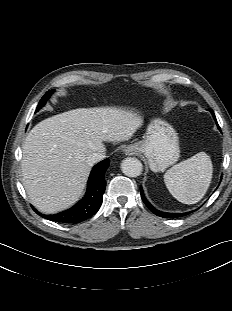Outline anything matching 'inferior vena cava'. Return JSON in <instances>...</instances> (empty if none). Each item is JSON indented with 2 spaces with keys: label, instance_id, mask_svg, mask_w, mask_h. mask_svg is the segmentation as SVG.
<instances>
[{
  "label": "inferior vena cava",
  "instance_id": "obj_1",
  "mask_svg": "<svg viewBox=\"0 0 232 311\" xmlns=\"http://www.w3.org/2000/svg\"><path fill=\"white\" fill-rule=\"evenodd\" d=\"M105 153L103 152H95L92 153L91 155H89L87 157L86 162L90 165L93 166L94 164H96L97 162L103 160L105 158Z\"/></svg>",
  "mask_w": 232,
  "mask_h": 311
}]
</instances>
